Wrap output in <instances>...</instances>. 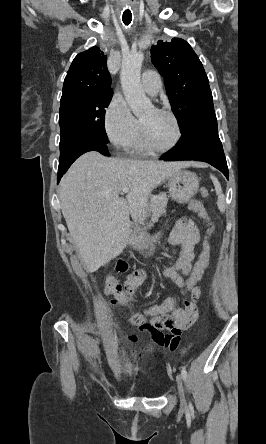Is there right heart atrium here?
I'll use <instances>...</instances> for the list:
<instances>
[{
	"label": "right heart atrium",
	"mask_w": 266,
	"mask_h": 444,
	"mask_svg": "<svg viewBox=\"0 0 266 444\" xmlns=\"http://www.w3.org/2000/svg\"><path fill=\"white\" fill-rule=\"evenodd\" d=\"M139 127V122L125 99L120 94H115L104 114V130L109 142L115 148H128Z\"/></svg>",
	"instance_id": "1"
}]
</instances>
